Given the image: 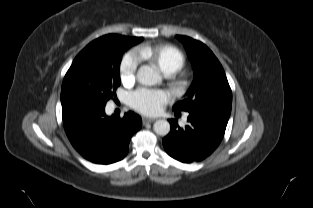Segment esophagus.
<instances>
[{
  "label": "esophagus",
  "mask_w": 313,
  "mask_h": 208,
  "mask_svg": "<svg viewBox=\"0 0 313 208\" xmlns=\"http://www.w3.org/2000/svg\"><path fill=\"white\" fill-rule=\"evenodd\" d=\"M155 119H151V118H146V117H143L142 118V122H143V125L147 124V123H152L154 122Z\"/></svg>",
  "instance_id": "1"
}]
</instances>
